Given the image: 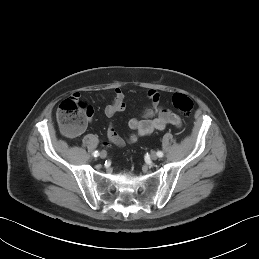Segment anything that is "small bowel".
<instances>
[{
  "mask_svg": "<svg viewBox=\"0 0 259 259\" xmlns=\"http://www.w3.org/2000/svg\"><path fill=\"white\" fill-rule=\"evenodd\" d=\"M147 98L151 105L142 112L140 118H132L128 121L131 132L127 135L126 141L129 143H136L144 136L157 131H163L167 125H173L177 128L182 126L181 118L178 115L160 105L161 97L156 90H149ZM125 107L124 93L120 88H115L113 90V100L105 108L106 116L109 118L114 117L117 113L123 111ZM107 139L109 143L118 147H122L125 144V140L116 132L112 125L108 127ZM103 144H106V142H103Z\"/></svg>",
  "mask_w": 259,
  "mask_h": 259,
  "instance_id": "c3829d8e",
  "label": "small bowel"
}]
</instances>
